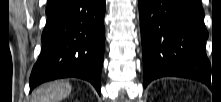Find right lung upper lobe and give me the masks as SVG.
Returning <instances> with one entry per match:
<instances>
[{"label":"right lung upper lobe","mask_w":221,"mask_h":102,"mask_svg":"<svg viewBox=\"0 0 221 102\" xmlns=\"http://www.w3.org/2000/svg\"><path fill=\"white\" fill-rule=\"evenodd\" d=\"M53 1H54V0H48V4L51 3V2H53Z\"/></svg>","instance_id":"cb5924a9"}]
</instances>
